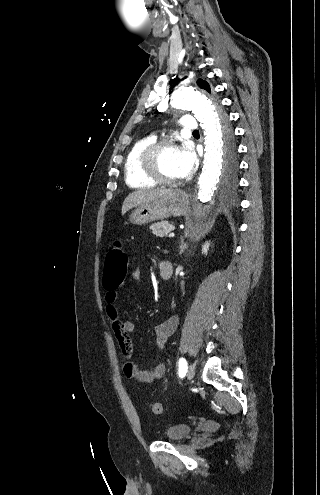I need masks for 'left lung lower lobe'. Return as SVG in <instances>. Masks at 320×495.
Here are the masks:
<instances>
[{
  "label": "left lung lower lobe",
  "instance_id": "obj_1",
  "mask_svg": "<svg viewBox=\"0 0 320 495\" xmlns=\"http://www.w3.org/2000/svg\"><path fill=\"white\" fill-rule=\"evenodd\" d=\"M222 125L225 126V127H228L231 130V127L229 126V121H228V117L227 116H224V118L222 120ZM231 132H232V130H231Z\"/></svg>",
  "mask_w": 320,
  "mask_h": 495
}]
</instances>
